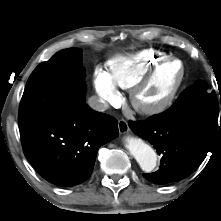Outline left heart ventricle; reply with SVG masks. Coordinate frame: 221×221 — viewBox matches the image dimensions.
I'll return each mask as SVG.
<instances>
[{"instance_id": "left-heart-ventricle-1", "label": "left heart ventricle", "mask_w": 221, "mask_h": 221, "mask_svg": "<svg viewBox=\"0 0 221 221\" xmlns=\"http://www.w3.org/2000/svg\"><path fill=\"white\" fill-rule=\"evenodd\" d=\"M181 71L179 62H171L163 66L140 92L139 100L145 104H154L165 99L177 84Z\"/></svg>"}]
</instances>
